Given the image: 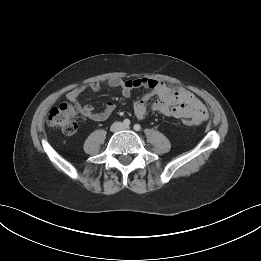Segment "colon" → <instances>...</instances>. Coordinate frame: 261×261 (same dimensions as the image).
<instances>
[{
  "instance_id": "5ec220e1",
  "label": "colon",
  "mask_w": 261,
  "mask_h": 261,
  "mask_svg": "<svg viewBox=\"0 0 261 261\" xmlns=\"http://www.w3.org/2000/svg\"><path fill=\"white\" fill-rule=\"evenodd\" d=\"M76 109L71 103H62L51 109L48 115V125L62 131L64 134L72 135L77 130L75 120ZM185 125H193L192 120L183 119Z\"/></svg>"
}]
</instances>
